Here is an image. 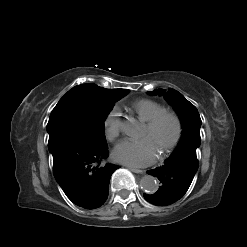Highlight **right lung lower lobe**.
<instances>
[{
  "label": "right lung lower lobe",
  "mask_w": 247,
  "mask_h": 247,
  "mask_svg": "<svg viewBox=\"0 0 247 247\" xmlns=\"http://www.w3.org/2000/svg\"><path fill=\"white\" fill-rule=\"evenodd\" d=\"M53 173L67 197L77 206L95 209L106 201L109 181L117 165H102L106 146H94L65 133L49 134Z\"/></svg>",
  "instance_id": "right-lung-lower-lobe-1"
}]
</instances>
